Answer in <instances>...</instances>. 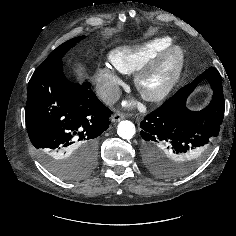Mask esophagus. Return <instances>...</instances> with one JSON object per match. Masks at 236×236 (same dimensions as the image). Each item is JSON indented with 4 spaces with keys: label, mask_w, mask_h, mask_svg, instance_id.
<instances>
[{
    "label": "esophagus",
    "mask_w": 236,
    "mask_h": 236,
    "mask_svg": "<svg viewBox=\"0 0 236 236\" xmlns=\"http://www.w3.org/2000/svg\"><path fill=\"white\" fill-rule=\"evenodd\" d=\"M125 118V115L122 113H115L112 115L111 120L112 122H119Z\"/></svg>",
    "instance_id": "obj_1"
}]
</instances>
